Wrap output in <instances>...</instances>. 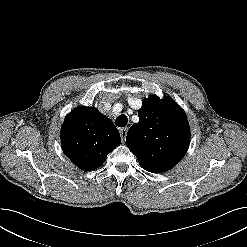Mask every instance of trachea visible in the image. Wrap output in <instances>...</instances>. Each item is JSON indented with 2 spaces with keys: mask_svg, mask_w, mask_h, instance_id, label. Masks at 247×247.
I'll return each mask as SVG.
<instances>
[{
  "mask_svg": "<svg viewBox=\"0 0 247 247\" xmlns=\"http://www.w3.org/2000/svg\"><path fill=\"white\" fill-rule=\"evenodd\" d=\"M128 119L127 116L122 114L118 116L115 120V123L118 127H125L127 125Z\"/></svg>",
  "mask_w": 247,
  "mask_h": 247,
  "instance_id": "1",
  "label": "trachea"
}]
</instances>
